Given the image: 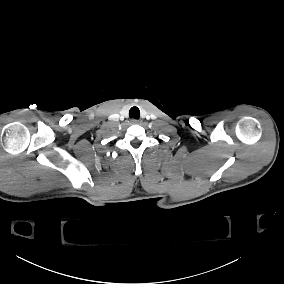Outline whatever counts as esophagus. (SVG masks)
Listing matches in <instances>:
<instances>
[{
	"label": "esophagus",
	"instance_id": "1",
	"mask_svg": "<svg viewBox=\"0 0 284 284\" xmlns=\"http://www.w3.org/2000/svg\"><path fill=\"white\" fill-rule=\"evenodd\" d=\"M131 123H132V124H137V123H138V120H136V119H131Z\"/></svg>",
	"mask_w": 284,
	"mask_h": 284
}]
</instances>
